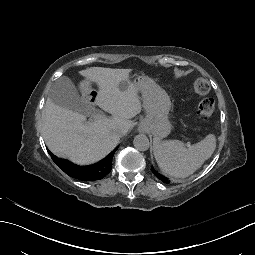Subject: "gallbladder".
Segmentation results:
<instances>
[{
	"mask_svg": "<svg viewBox=\"0 0 255 255\" xmlns=\"http://www.w3.org/2000/svg\"><path fill=\"white\" fill-rule=\"evenodd\" d=\"M48 96L55 105L80 114L85 115L92 110L91 103L80 97L76 86L66 76L59 77L52 84Z\"/></svg>",
	"mask_w": 255,
	"mask_h": 255,
	"instance_id": "obj_1",
	"label": "gallbladder"
}]
</instances>
